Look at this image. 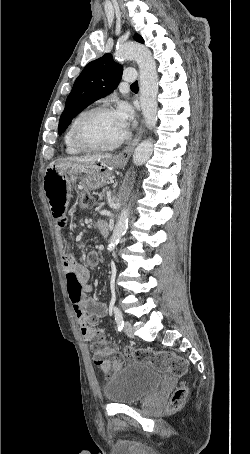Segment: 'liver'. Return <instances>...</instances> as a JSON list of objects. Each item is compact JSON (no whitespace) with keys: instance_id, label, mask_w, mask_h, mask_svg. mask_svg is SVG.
Listing matches in <instances>:
<instances>
[{"instance_id":"1","label":"liver","mask_w":250,"mask_h":454,"mask_svg":"<svg viewBox=\"0 0 250 454\" xmlns=\"http://www.w3.org/2000/svg\"><path fill=\"white\" fill-rule=\"evenodd\" d=\"M113 156L111 154H106V155H86V156H80V157H67L63 159L61 162H65L69 165H74L78 166L81 164H90L94 163L96 161H100L103 159H110Z\"/></svg>"}]
</instances>
